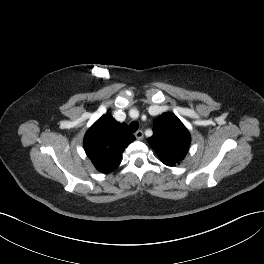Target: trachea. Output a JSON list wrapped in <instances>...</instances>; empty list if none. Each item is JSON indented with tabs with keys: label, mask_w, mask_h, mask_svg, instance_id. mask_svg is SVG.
Segmentation results:
<instances>
[{
	"label": "trachea",
	"mask_w": 264,
	"mask_h": 264,
	"mask_svg": "<svg viewBox=\"0 0 264 264\" xmlns=\"http://www.w3.org/2000/svg\"><path fill=\"white\" fill-rule=\"evenodd\" d=\"M138 123L136 121H133L129 125V131L130 132H136L138 130Z\"/></svg>",
	"instance_id": "3493384b"
}]
</instances>
